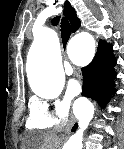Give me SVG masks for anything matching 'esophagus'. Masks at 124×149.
<instances>
[{
  "label": "esophagus",
  "mask_w": 124,
  "mask_h": 149,
  "mask_svg": "<svg viewBox=\"0 0 124 149\" xmlns=\"http://www.w3.org/2000/svg\"><path fill=\"white\" fill-rule=\"evenodd\" d=\"M72 121L73 120H71V121H69L68 123H67V125L65 126V132H68L69 131V129H70V126H71V124H72Z\"/></svg>",
  "instance_id": "1"
}]
</instances>
